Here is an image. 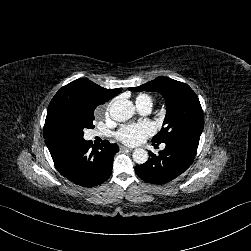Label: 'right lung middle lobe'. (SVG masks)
<instances>
[{
    "instance_id": "right-lung-middle-lobe-1",
    "label": "right lung middle lobe",
    "mask_w": 251,
    "mask_h": 251,
    "mask_svg": "<svg viewBox=\"0 0 251 251\" xmlns=\"http://www.w3.org/2000/svg\"><path fill=\"white\" fill-rule=\"evenodd\" d=\"M94 112L71 105L61 94L51 100L44 125V138L63 137L82 139L85 128L92 129Z\"/></svg>"
}]
</instances>
